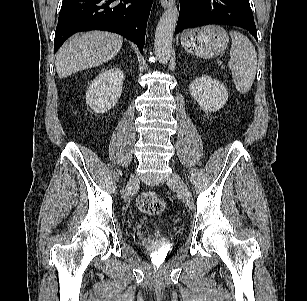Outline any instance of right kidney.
<instances>
[{
    "mask_svg": "<svg viewBox=\"0 0 307 301\" xmlns=\"http://www.w3.org/2000/svg\"><path fill=\"white\" fill-rule=\"evenodd\" d=\"M123 71L110 68L99 73L86 92V103L96 113H105L117 104L122 93Z\"/></svg>",
    "mask_w": 307,
    "mask_h": 301,
    "instance_id": "obj_1",
    "label": "right kidney"
}]
</instances>
